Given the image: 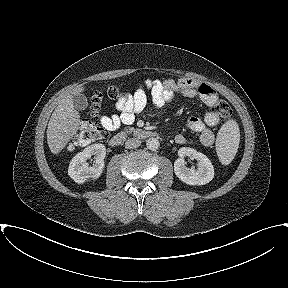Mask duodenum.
Returning <instances> with one entry per match:
<instances>
[{"mask_svg": "<svg viewBox=\"0 0 288 288\" xmlns=\"http://www.w3.org/2000/svg\"><path fill=\"white\" fill-rule=\"evenodd\" d=\"M130 136L139 138V139H149V138H156L158 134L155 131L142 129V128L128 129L113 136L110 139L109 143L111 146L117 147L121 145Z\"/></svg>", "mask_w": 288, "mask_h": 288, "instance_id": "1", "label": "duodenum"}]
</instances>
